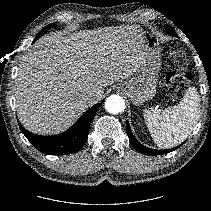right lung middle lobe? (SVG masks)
I'll list each match as a JSON object with an SVG mask.
<instances>
[{
	"label": "right lung middle lobe",
	"mask_w": 211,
	"mask_h": 211,
	"mask_svg": "<svg viewBox=\"0 0 211 211\" xmlns=\"http://www.w3.org/2000/svg\"><path fill=\"white\" fill-rule=\"evenodd\" d=\"M53 24H50L48 26H46L44 29H42L35 37L34 41L35 42L40 36H42L47 30H49L51 27H53Z\"/></svg>",
	"instance_id": "1"
}]
</instances>
